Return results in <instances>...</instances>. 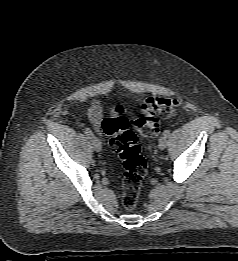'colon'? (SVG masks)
<instances>
[{
	"label": "colon",
	"instance_id": "obj_1",
	"mask_svg": "<svg viewBox=\"0 0 238 261\" xmlns=\"http://www.w3.org/2000/svg\"><path fill=\"white\" fill-rule=\"evenodd\" d=\"M180 102L174 98L149 97L141 105L140 116L134 121L136 131L145 137H154L159 132L161 118L176 115ZM121 105L113 107L110 116L102 123L103 132L110 137L109 147L119 156L124 167L122 205L132 210L138 203L147 163L141 154L136 134L130 130L123 116Z\"/></svg>",
	"mask_w": 238,
	"mask_h": 261
}]
</instances>
